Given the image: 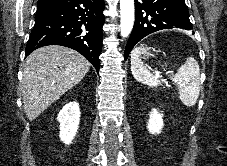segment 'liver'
Instances as JSON below:
<instances>
[{"instance_id":"6515ba94","label":"liver","mask_w":227,"mask_h":166,"mask_svg":"<svg viewBox=\"0 0 227 166\" xmlns=\"http://www.w3.org/2000/svg\"><path fill=\"white\" fill-rule=\"evenodd\" d=\"M91 64L77 51L49 45L33 51L26 60L21 84L27 118L36 119L65 92L78 84Z\"/></svg>"}]
</instances>
